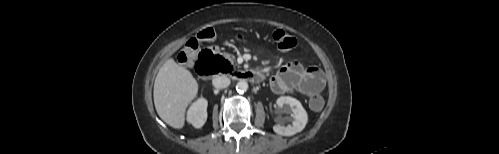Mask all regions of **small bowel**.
Segmentation results:
<instances>
[{
	"label": "small bowel",
	"instance_id": "obj_1",
	"mask_svg": "<svg viewBox=\"0 0 499 154\" xmlns=\"http://www.w3.org/2000/svg\"><path fill=\"white\" fill-rule=\"evenodd\" d=\"M325 85L323 73L317 67L304 68L299 62L286 64L271 77L270 87L276 94L296 90L305 97L319 94Z\"/></svg>",
	"mask_w": 499,
	"mask_h": 154
}]
</instances>
